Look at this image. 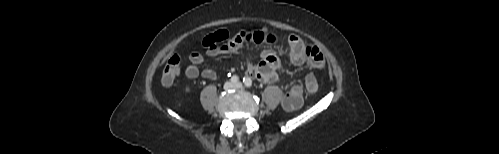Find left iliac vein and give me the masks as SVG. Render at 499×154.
I'll use <instances>...</instances> for the list:
<instances>
[{
  "label": "left iliac vein",
  "mask_w": 499,
  "mask_h": 154,
  "mask_svg": "<svg viewBox=\"0 0 499 154\" xmlns=\"http://www.w3.org/2000/svg\"><path fill=\"white\" fill-rule=\"evenodd\" d=\"M235 87H236V88H242V83H240V82L236 83V84H235Z\"/></svg>",
  "instance_id": "obj_1"
}]
</instances>
